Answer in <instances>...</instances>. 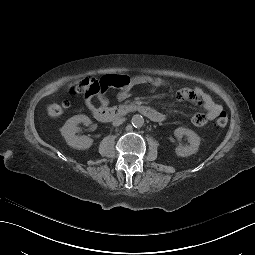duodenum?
I'll use <instances>...</instances> for the list:
<instances>
[{
    "mask_svg": "<svg viewBox=\"0 0 255 255\" xmlns=\"http://www.w3.org/2000/svg\"><path fill=\"white\" fill-rule=\"evenodd\" d=\"M91 112L95 119L100 122H111L118 119L128 113L138 112L154 122H162L165 120V116L159 113L157 110L148 106L129 105L120 107H93Z\"/></svg>",
    "mask_w": 255,
    "mask_h": 255,
    "instance_id": "1",
    "label": "duodenum"
}]
</instances>
